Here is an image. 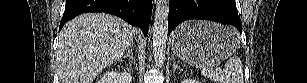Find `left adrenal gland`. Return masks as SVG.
Wrapping results in <instances>:
<instances>
[{"instance_id": "obj_1", "label": "left adrenal gland", "mask_w": 307, "mask_h": 83, "mask_svg": "<svg viewBox=\"0 0 307 83\" xmlns=\"http://www.w3.org/2000/svg\"><path fill=\"white\" fill-rule=\"evenodd\" d=\"M179 70L180 72H184L183 69H181L175 62V58H173V71Z\"/></svg>"}]
</instances>
